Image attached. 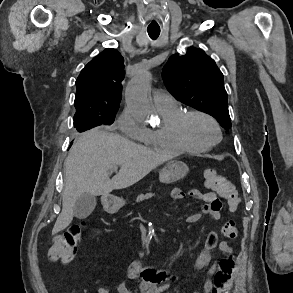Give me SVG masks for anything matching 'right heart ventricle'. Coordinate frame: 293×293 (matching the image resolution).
<instances>
[{
  "label": "right heart ventricle",
  "instance_id": "e07e8e85",
  "mask_svg": "<svg viewBox=\"0 0 293 293\" xmlns=\"http://www.w3.org/2000/svg\"><path fill=\"white\" fill-rule=\"evenodd\" d=\"M157 110L162 118V125L154 130L148 129L146 138L142 142L151 148L165 152H197L184 144L175 131L176 120L184 110L177 103L157 108Z\"/></svg>",
  "mask_w": 293,
  "mask_h": 293
}]
</instances>
